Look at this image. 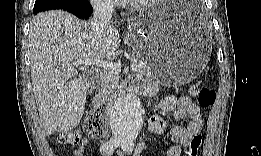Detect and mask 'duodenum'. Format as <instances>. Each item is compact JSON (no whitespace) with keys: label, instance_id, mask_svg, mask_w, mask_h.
<instances>
[{"label":"duodenum","instance_id":"duodenum-1","mask_svg":"<svg viewBox=\"0 0 261 156\" xmlns=\"http://www.w3.org/2000/svg\"><path fill=\"white\" fill-rule=\"evenodd\" d=\"M87 75H88L89 80L94 82V83L99 81V79L101 77L100 71L98 69H95V68L89 69L88 72H87ZM124 86L127 89H133L134 88V85L130 81L125 82ZM113 102H114L113 98H109V99H106V100H99L98 99V100L95 101V106L96 107H102V108H108V107H111L113 105Z\"/></svg>","mask_w":261,"mask_h":156}]
</instances>
